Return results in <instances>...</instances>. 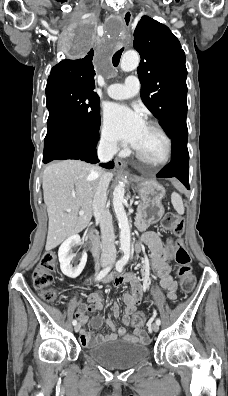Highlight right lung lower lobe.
Listing matches in <instances>:
<instances>
[{
	"label": "right lung lower lobe",
	"mask_w": 228,
	"mask_h": 396,
	"mask_svg": "<svg viewBox=\"0 0 228 396\" xmlns=\"http://www.w3.org/2000/svg\"><path fill=\"white\" fill-rule=\"evenodd\" d=\"M98 134L86 146L79 144L69 134L65 132H52L46 135L44 143L43 162L46 164L53 160L78 159L90 163H97L96 146ZM102 167L110 169L114 167L113 162L100 164Z\"/></svg>",
	"instance_id": "1"
}]
</instances>
